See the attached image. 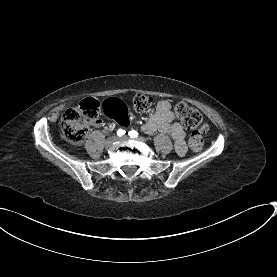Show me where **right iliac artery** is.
<instances>
[{"label":"right iliac artery","mask_w":277,"mask_h":277,"mask_svg":"<svg viewBox=\"0 0 277 277\" xmlns=\"http://www.w3.org/2000/svg\"><path fill=\"white\" fill-rule=\"evenodd\" d=\"M124 134H125V130H123V129H119V130L117 131V135H118L119 137L123 136Z\"/></svg>","instance_id":"obj_1"}]
</instances>
